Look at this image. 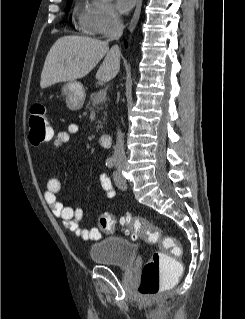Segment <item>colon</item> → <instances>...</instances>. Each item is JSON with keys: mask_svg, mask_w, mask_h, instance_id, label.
Segmentation results:
<instances>
[{"mask_svg": "<svg viewBox=\"0 0 245 319\" xmlns=\"http://www.w3.org/2000/svg\"><path fill=\"white\" fill-rule=\"evenodd\" d=\"M45 113L46 106L42 102L35 103L31 107L29 139L35 146L48 142L52 137V130ZM120 224L125 233L133 237L142 236L147 242L158 243L163 248V251L153 253L142 269L139 293L146 298L153 297L182 272V267L166 253L168 251L174 255H180L181 247L176 238L162 237L159 228L145 218L126 213L120 219ZM98 226L103 231L114 232L117 228V220L112 215L103 213L98 218Z\"/></svg>", "mask_w": 245, "mask_h": 319, "instance_id": "5ec220e1", "label": "colon"}]
</instances>
